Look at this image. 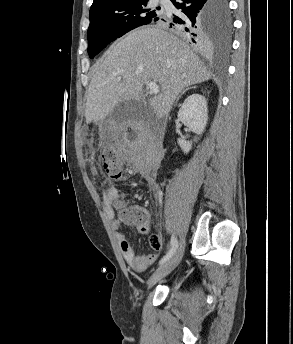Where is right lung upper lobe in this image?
Here are the masks:
<instances>
[{
	"label": "right lung upper lobe",
	"instance_id": "right-lung-upper-lobe-1",
	"mask_svg": "<svg viewBox=\"0 0 293 344\" xmlns=\"http://www.w3.org/2000/svg\"><path fill=\"white\" fill-rule=\"evenodd\" d=\"M115 1H118V0H94L90 10L97 8V7H100V6H103V5H107L109 3H113Z\"/></svg>",
	"mask_w": 293,
	"mask_h": 344
}]
</instances>
